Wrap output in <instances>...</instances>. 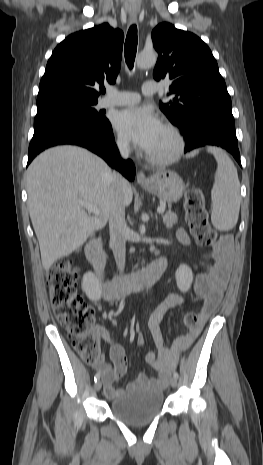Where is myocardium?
<instances>
[{
    "label": "myocardium",
    "mask_w": 263,
    "mask_h": 465,
    "mask_svg": "<svg viewBox=\"0 0 263 465\" xmlns=\"http://www.w3.org/2000/svg\"><path fill=\"white\" fill-rule=\"evenodd\" d=\"M164 128L171 134L175 141V147L173 151L166 156H154L151 154L147 155L148 160L155 165L165 166L178 161L185 150V140L181 131L173 124L167 123Z\"/></svg>",
    "instance_id": "obj_1"
}]
</instances>
